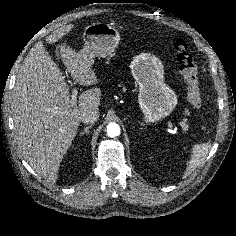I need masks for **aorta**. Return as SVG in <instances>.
Listing matches in <instances>:
<instances>
[{"instance_id": "762f6f07", "label": "aorta", "mask_w": 236, "mask_h": 236, "mask_svg": "<svg viewBox=\"0 0 236 236\" xmlns=\"http://www.w3.org/2000/svg\"><path fill=\"white\" fill-rule=\"evenodd\" d=\"M120 134V127L116 123H109L107 125V135L109 137H117Z\"/></svg>"}]
</instances>
